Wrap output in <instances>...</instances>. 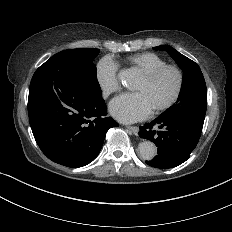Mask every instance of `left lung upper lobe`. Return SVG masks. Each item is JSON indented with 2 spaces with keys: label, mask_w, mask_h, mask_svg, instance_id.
Returning <instances> with one entry per match:
<instances>
[{
  "label": "left lung upper lobe",
  "mask_w": 232,
  "mask_h": 232,
  "mask_svg": "<svg viewBox=\"0 0 232 232\" xmlns=\"http://www.w3.org/2000/svg\"><path fill=\"white\" fill-rule=\"evenodd\" d=\"M153 49L168 52L184 72L177 102L160 116L182 119L202 131L207 105V89L200 67L169 45H161Z\"/></svg>",
  "instance_id": "1"
}]
</instances>
